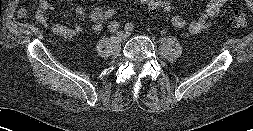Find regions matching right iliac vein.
<instances>
[{"label":"right iliac vein","mask_w":253,"mask_h":131,"mask_svg":"<svg viewBox=\"0 0 253 131\" xmlns=\"http://www.w3.org/2000/svg\"><path fill=\"white\" fill-rule=\"evenodd\" d=\"M125 38H126V34L124 32L120 31V32L117 33L116 39L118 41H123Z\"/></svg>","instance_id":"obj_1"}]
</instances>
